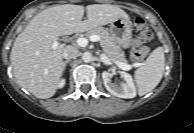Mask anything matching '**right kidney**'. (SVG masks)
I'll list each match as a JSON object with an SVG mask.
<instances>
[{
  "label": "right kidney",
  "mask_w": 194,
  "mask_h": 133,
  "mask_svg": "<svg viewBox=\"0 0 194 133\" xmlns=\"http://www.w3.org/2000/svg\"><path fill=\"white\" fill-rule=\"evenodd\" d=\"M65 85V80L62 79L60 80L59 84H58V88H62Z\"/></svg>",
  "instance_id": "obj_1"
}]
</instances>
